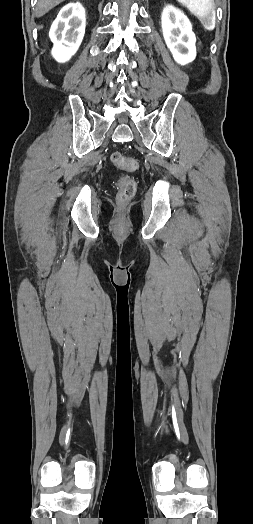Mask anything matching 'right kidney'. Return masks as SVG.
Masks as SVG:
<instances>
[{"instance_id":"right-kidney-1","label":"right kidney","mask_w":253,"mask_h":524,"mask_svg":"<svg viewBox=\"0 0 253 524\" xmlns=\"http://www.w3.org/2000/svg\"><path fill=\"white\" fill-rule=\"evenodd\" d=\"M85 26V9L79 2L69 3L60 10L49 32L54 43L52 55L58 62H66L76 53L83 40Z\"/></svg>"}]
</instances>
